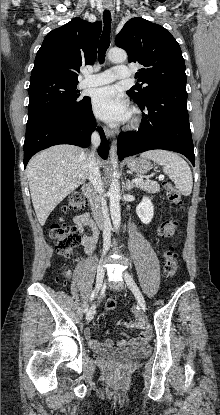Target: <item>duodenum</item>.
I'll return each instance as SVG.
<instances>
[{
  "label": "duodenum",
  "mask_w": 220,
  "mask_h": 415,
  "mask_svg": "<svg viewBox=\"0 0 220 415\" xmlns=\"http://www.w3.org/2000/svg\"><path fill=\"white\" fill-rule=\"evenodd\" d=\"M84 192H85L86 196L88 197L94 222H95L96 225H99L103 221V214H102V210L99 208V206L96 202L95 191H94L93 186H91V185L85 186L84 187Z\"/></svg>",
  "instance_id": "1"
}]
</instances>
